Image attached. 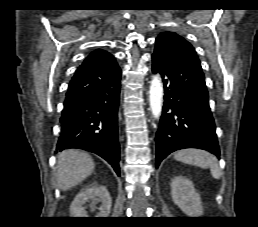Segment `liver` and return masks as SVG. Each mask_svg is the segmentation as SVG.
I'll return each instance as SVG.
<instances>
[{
  "instance_id": "6515ba94",
  "label": "liver",
  "mask_w": 258,
  "mask_h": 227,
  "mask_svg": "<svg viewBox=\"0 0 258 227\" xmlns=\"http://www.w3.org/2000/svg\"><path fill=\"white\" fill-rule=\"evenodd\" d=\"M92 157L79 150H65L58 155L56 179L58 187L65 191L83 180L94 170Z\"/></svg>"
}]
</instances>
